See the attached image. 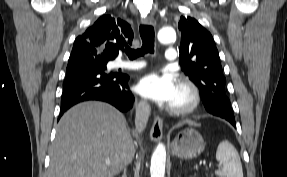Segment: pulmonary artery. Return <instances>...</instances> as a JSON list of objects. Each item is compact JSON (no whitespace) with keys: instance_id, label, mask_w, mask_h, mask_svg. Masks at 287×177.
Listing matches in <instances>:
<instances>
[{"instance_id":"obj_1","label":"pulmonary artery","mask_w":287,"mask_h":177,"mask_svg":"<svg viewBox=\"0 0 287 177\" xmlns=\"http://www.w3.org/2000/svg\"><path fill=\"white\" fill-rule=\"evenodd\" d=\"M164 60L167 66L173 65L176 62V49L174 47H169L166 50ZM117 67L124 69H139L142 67V63H128L120 61L117 63Z\"/></svg>"}]
</instances>
